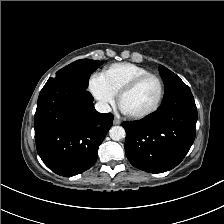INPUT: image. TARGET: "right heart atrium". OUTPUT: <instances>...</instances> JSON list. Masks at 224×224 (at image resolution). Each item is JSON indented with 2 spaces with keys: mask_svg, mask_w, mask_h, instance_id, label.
Masks as SVG:
<instances>
[{
  "mask_svg": "<svg viewBox=\"0 0 224 224\" xmlns=\"http://www.w3.org/2000/svg\"><path fill=\"white\" fill-rule=\"evenodd\" d=\"M89 90L103 107H109L115 101V95L107 88L100 75L90 77Z\"/></svg>",
  "mask_w": 224,
  "mask_h": 224,
  "instance_id": "right-heart-atrium-1",
  "label": "right heart atrium"
}]
</instances>
